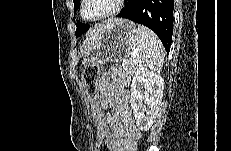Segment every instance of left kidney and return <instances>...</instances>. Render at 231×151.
I'll return each instance as SVG.
<instances>
[{
    "label": "left kidney",
    "mask_w": 231,
    "mask_h": 151,
    "mask_svg": "<svg viewBox=\"0 0 231 151\" xmlns=\"http://www.w3.org/2000/svg\"><path fill=\"white\" fill-rule=\"evenodd\" d=\"M163 89L164 80L159 74L137 69L132 80L130 103L141 131L152 126L160 108Z\"/></svg>",
    "instance_id": "5707ae66"
}]
</instances>
